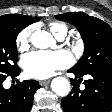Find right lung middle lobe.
<instances>
[{
  "label": "right lung middle lobe",
  "instance_id": "obj_1",
  "mask_svg": "<svg viewBox=\"0 0 112 112\" xmlns=\"http://www.w3.org/2000/svg\"><path fill=\"white\" fill-rule=\"evenodd\" d=\"M29 24L25 16L19 14L5 16L0 22V77L16 69L18 61L16 38Z\"/></svg>",
  "mask_w": 112,
  "mask_h": 112
}]
</instances>
